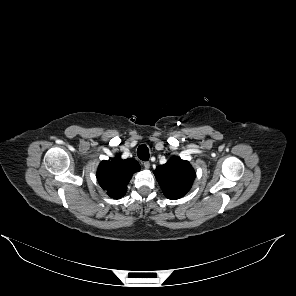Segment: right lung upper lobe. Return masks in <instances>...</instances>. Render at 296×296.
<instances>
[{
    "label": "right lung upper lobe",
    "instance_id": "right-lung-upper-lobe-1",
    "mask_svg": "<svg viewBox=\"0 0 296 296\" xmlns=\"http://www.w3.org/2000/svg\"><path fill=\"white\" fill-rule=\"evenodd\" d=\"M140 170L139 163L134 159L122 160L117 154L111 161H102L97 170L100 186L113 199L125 195L127 184L132 175Z\"/></svg>",
    "mask_w": 296,
    "mask_h": 296
}]
</instances>
